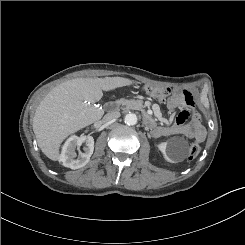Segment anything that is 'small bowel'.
<instances>
[{"mask_svg": "<svg viewBox=\"0 0 245 245\" xmlns=\"http://www.w3.org/2000/svg\"><path fill=\"white\" fill-rule=\"evenodd\" d=\"M166 107L170 110L179 109L180 113L171 124L150 126L154 137L182 135L199 143L205 140L206 129L201 115L194 110L193 96L188 90L175 91L166 102Z\"/></svg>", "mask_w": 245, "mask_h": 245, "instance_id": "small-bowel-1", "label": "small bowel"}]
</instances>
